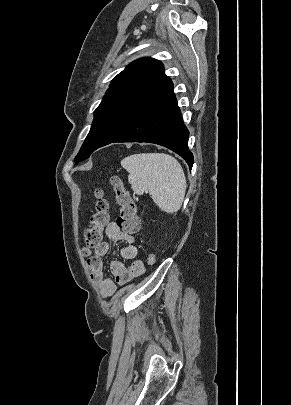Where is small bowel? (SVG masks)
<instances>
[{
	"mask_svg": "<svg viewBox=\"0 0 291 405\" xmlns=\"http://www.w3.org/2000/svg\"><path fill=\"white\" fill-rule=\"evenodd\" d=\"M107 241L102 242L91 257L87 259V265L91 273V279L103 297L112 296L117 289V285H125L135 277L144 272V264L137 259V248L133 245L134 237L124 233L115 222H111L105 228ZM125 242L120 255L123 260L132 261L127 267L124 262L115 260L110 264V271L113 279L107 278L104 273L102 257L110 250V245L117 242Z\"/></svg>",
	"mask_w": 291,
	"mask_h": 405,
	"instance_id": "1",
	"label": "small bowel"
}]
</instances>
